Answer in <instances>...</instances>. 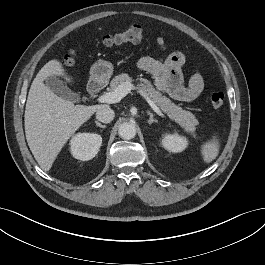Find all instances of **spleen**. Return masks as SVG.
Listing matches in <instances>:
<instances>
[{"label":"spleen","instance_id":"obj_1","mask_svg":"<svg viewBox=\"0 0 265 265\" xmlns=\"http://www.w3.org/2000/svg\"><path fill=\"white\" fill-rule=\"evenodd\" d=\"M219 142L216 138H213L211 141L205 143L202 147V156L206 163L212 162L219 153Z\"/></svg>","mask_w":265,"mask_h":265}]
</instances>
